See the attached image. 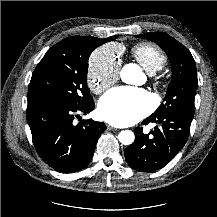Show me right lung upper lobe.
Segmentation results:
<instances>
[{
  "label": "right lung upper lobe",
  "mask_w": 217,
  "mask_h": 217,
  "mask_svg": "<svg viewBox=\"0 0 217 217\" xmlns=\"http://www.w3.org/2000/svg\"><path fill=\"white\" fill-rule=\"evenodd\" d=\"M117 36H112V37H109L107 39H100L102 44L106 43V42H109V41H112L114 39H116Z\"/></svg>",
  "instance_id": "cb5924a9"
}]
</instances>
